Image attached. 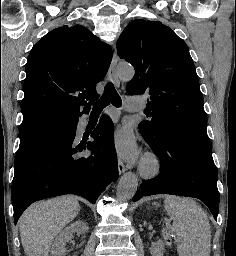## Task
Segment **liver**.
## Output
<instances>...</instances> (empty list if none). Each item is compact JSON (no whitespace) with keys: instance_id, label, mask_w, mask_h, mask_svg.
<instances>
[{"instance_id":"1","label":"liver","mask_w":236,"mask_h":256,"mask_svg":"<svg viewBox=\"0 0 236 256\" xmlns=\"http://www.w3.org/2000/svg\"><path fill=\"white\" fill-rule=\"evenodd\" d=\"M79 202L62 196L32 204L20 218V238L26 256H49L54 238L79 214Z\"/></svg>"}]
</instances>
